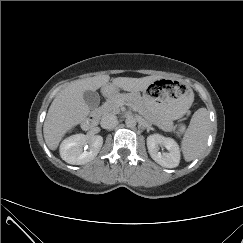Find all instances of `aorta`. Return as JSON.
Masks as SVG:
<instances>
[{"label": "aorta", "mask_w": 243, "mask_h": 243, "mask_svg": "<svg viewBox=\"0 0 243 243\" xmlns=\"http://www.w3.org/2000/svg\"><path fill=\"white\" fill-rule=\"evenodd\" d=\"M136 123H137L136 118L133 117V116H128V117L126 118V120H125V124H126V126L129 127V128H133V127H135V126H136Z\"/></svg>", "instance_id": "obj_1"}]
</instances>
